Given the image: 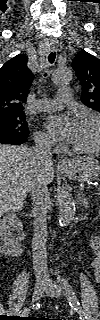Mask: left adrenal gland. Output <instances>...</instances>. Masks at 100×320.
Instances as JSON below:
<instances>
[{
    "label": "left adrenal gland",
    "instance_id": "1",
    "mask_svg": "<svg viewBox=\"0 0 100 320\" xmlns=\"http://www.w3.org/2000/svg\"><path fill=\"white\" fill-rule=\"evenodd\" d=\"M77 199L80 202L81 205H83L85 208L88 207V199L80 192L77 194Z\"/></svg>",
    "mask_w": 100,
    "mask_h": 320
}]
</instances>
